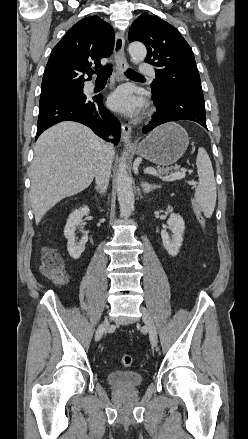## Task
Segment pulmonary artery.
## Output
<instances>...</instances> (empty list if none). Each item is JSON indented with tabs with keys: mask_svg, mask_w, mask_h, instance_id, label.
Wrapping results in <instances>:
<instances>
[{
	"mask_svg": "<svg viewBox=\"0 0 248 439\" xmlns=\"http://www.w3.org/2000/svg\"><path fill=\"white\" fill-rule=\"evenodd\" d=\"M139 73L142 75L155 77V72H154L153 67L145 62L140 63Z\"/></svg>",
	"mask_w": 248,
	"mask_h": 439,
	"instance_id": "1",
	"label": "pulmonary artery"
}]
</instances>
